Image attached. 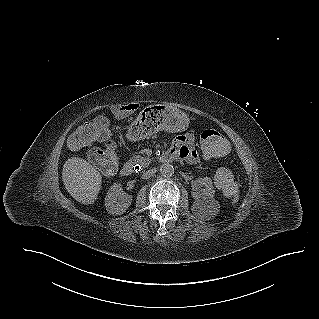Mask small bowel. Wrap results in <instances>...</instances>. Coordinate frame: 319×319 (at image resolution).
<instances>
[{"instance_id": "obj_1", "label": "small bowel", "mask_w": 319, "mask_h": 319, "mask_svg": "<svg viewBox=\"0 0 319 319\" xmlns=\"http://www.w3.org/2000/svg\"><path fill=\"white\" fill-rule=\"evenodd\" d=\"M135 110V105L120 103L114 107V114L117 117H127L130 112ZM194 138L193 134L187 133L177 136L171 145L170 152H172L175 158L186 159L189 163L196 164L199 162V156L194 149ZM208 156V155H206Z\"/></svg>"}]
</instances>
